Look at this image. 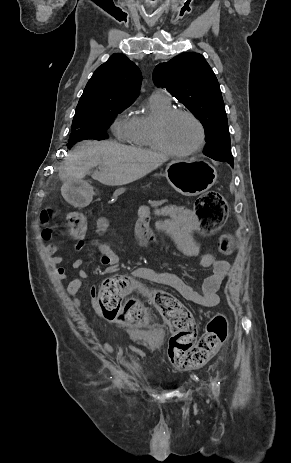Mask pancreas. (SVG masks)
<instances>
[{
	"mask_svg": "<svg viewBox=\"0 0 291 463\" xmlns=\"http://www.w3.org/2000/svg\"><path fill=\"white\" fill-rule=\"evenodd\" d=\"M142 191L143 192H146V193H158L162 187L160 184H157V183H148V184H145L141 187Z\"/></svg>",
	"mask_w": 291,
	"mask_h": 463,
	"instance_id": "1",
	"label": "pancreas"
}]
</instances>
